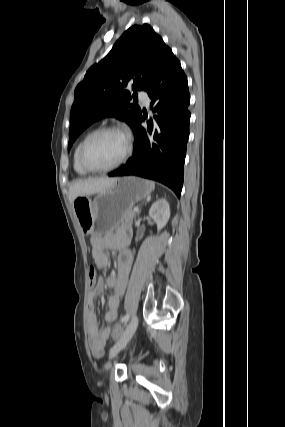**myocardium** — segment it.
Segmentation results:
<instances>
[{"label":"myocardium","mask_w":285,"mask_h":427,"mask_svg":"<svg viewBox=\"0 0 285 427\" xmlns=\"http://www.w3.org/2000/svg\"><path fill=\"white\" fill-rule=\"evenodd\" d=\"M110 132H118L125 135L127 139V147L124 152V154L120 157L119 160H117L115 163L106 166V167H93L91 166L86 159V152L90 144L95 141L98 137L102 136L103 134L110 133ZM133 150V140L129 133L124 131L123 129L117 127V126H104L102 128H99L95 130L89 137H87L84 142L82 143L79 151V162L80 165L88 172L91 173H102V172H108L113 169L118 168L121 166L126 160L130 157Z\"/></svg>","instance_id":"1"}]
</instances>
